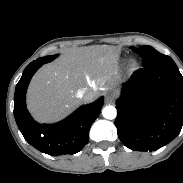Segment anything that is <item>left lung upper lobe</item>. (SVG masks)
<instances>
[{"label": "left lung upper lobe", "instance_id": "1", "mask_svg": "<svg viewBox=\"0 0 183 183\" xmlns=\"http://www.w3.org/2000/svg\"><path fill=\"white\" fill-rule=\"evenodd\" d=\"M132 50L141 56L144 68H150L174 62L171 57L159 53L151 46L146 45L140 48L132 47Z\"/></svg>", "mask_w": 183, "mask_h": 183}]
</instances>
